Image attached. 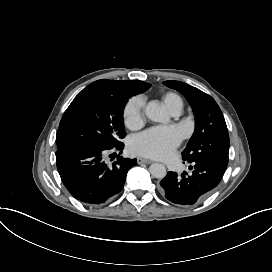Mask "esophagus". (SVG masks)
I'll list each match as a JSON object with an SVG mask.
<instances>
[{
	"label": "esophagus",
	"mask_w": 272,
	"mask_h": 272,
	"mask_svg": "<svg viewBox=\"0 0 272 272\" xmlns=\"http://www.w3.org/2000/svg\"><path fill=\"white\" fill-rule=\"evenodd\" d=\"M137 163H138V164H142V163H144V164H151L152 161H151L150 159H146V158H141V157H139V158L137 159Z\"/></svg>",
	"instance_id": "esophagus-1"
}]
</instances>
